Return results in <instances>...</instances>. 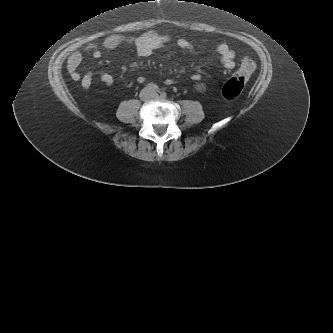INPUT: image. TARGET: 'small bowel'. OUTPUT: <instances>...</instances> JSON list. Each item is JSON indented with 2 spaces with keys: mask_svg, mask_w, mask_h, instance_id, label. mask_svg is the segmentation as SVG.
I'll list each match as a JSON object with an SVG mask.
<instances>
[{
  "mask_svg": "<svg viewBox=\"0 0 333 333\" xmlns=\"http://www.w3.org/2000/svg\"><path fill=\"white\" fill-rule=\"evenodd\" d=\"M167 42L168 41L160 35H144L137 37L111 35L107 37L101 44L94 43L85 46L83 51L92 54L94 58H100L102 56L103 50L109 51L115 49L120 45L127 44L133 46L140 57H148L155 49L163 47L167 44ZM172 42L186 51H194L193 43L187 38H178ZM217 53L219 55L220 62L225 69H234L235 53L229 46H227L226 44L219 45L217 47ZM66 60L67 71L70 78L74 81H80L83 89H89L94 78V73L89 71L84 75H81V73L78 71V66L82 60V53L78 50H71L66 54ZM98 77L100 81L107 87H111L114 84L113 76L107 72H99ZM191 79L194 81H199L201 79V75L199 73H193L191 75ZM138 82H145V78L139 77ZM174 83L175 81L172 79L166 81V84Z\"/></svg>",
  "mask_w": 333,
  "mask_h": 333,
  "instance_id": "c3829d8e",
  "label": "small bowel"
}]
</instances>
